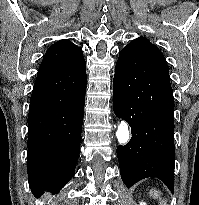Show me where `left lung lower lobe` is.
<instances>
[{"instance_id": "obj_1", "label": "left lung lower lobe", "mask_w": 199, "mask_h": 205, "mask_svg": "<svg viewBox=\"0 0 199 205\" xmlns=\"http://www.w3.org/2000/svg\"><path fill=\"white\" fill-rule=\"evenodd\" d=\"M113 109L131 126L132 138L118 146L121 178L129 188L157 177L174 192V98L162 52L143 37L119 54L113 81Z\"/></svg>"}]
</instances>
